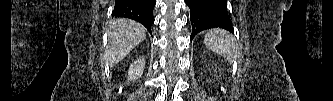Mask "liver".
Wrapping results in <instances>:
<instances>
[{
	"label": "liver",
	"instance_id": "obj_1",
	"mask_svg": "<svg viewBox=\"0 0 333 101\" xmlns=\"http://www.w3.org/2000/svg\"><path fill=\"white\" fill-rule=\"evenodd\" d=\"M146 38V29L136 21L126 18L114 20L108 31L105 59L114 66Z\"/></svg>",
	"mask_w": 333,
	"mask_h": 101
}]
</instances>
